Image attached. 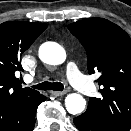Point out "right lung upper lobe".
Returning <instances> with one entry per match:
<instances>
[{"label":"right lung upper lobe","mask_w":131,"mask_h":131,"mask_svg":"<svg viewBox=\"0 0 131 131\" xmlns=\"http://www.w3.org/2000/svg\"><path fill=\"white\" fill-rule=\"evenodd\" d=\"M47 28L46 24L10 21L0 24V101L7 104L40 95L29 87L23 88L17 71H23L20 57Z\"/></svg>","instance_id":"obj_1"}]
</instances>
